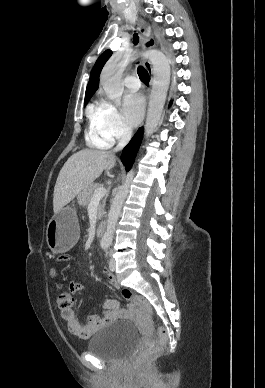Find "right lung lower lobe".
<instances>
[{
	"label": "right lung lower lobe",
	"instance_id": "1",
	"mask_svg": "<svg viewBox=\"0 0 265 388\" xmlns=\"http://www.w3.org/2000/svg\"><path fill=\"white\" fill-rule=\"evenodd\" d=\"M142 136H143V127L137 131V133L131 139L129 144L123 149L121 160L124 166L126 167V171H129L133 165L137 151L142 141Z\"/></svg>",
	"mask_w": 265,
	"mask_h": 388
}]
</instances>
